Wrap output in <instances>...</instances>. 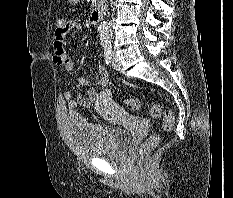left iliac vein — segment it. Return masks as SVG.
Instances as JSON below:
<instances>
[{
    "label": "left iliac vein",
    "instance_id": "obj_1",
    "mask_svg": "<svg viewBox=\"0 0 233 198\" xmlns=\"http://www.w3.org/2000/svg\"><path fill=\"white\" fill-rule=\"evenodd\" d=\"M112 67L116 71H120V69H121V62H120L118 56L115 54V52H113Z\"/></svg>",
    "mask_w": 233,
    "mask_h": 198
}]
</instances>
